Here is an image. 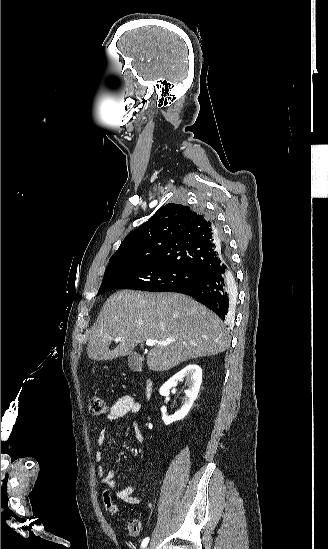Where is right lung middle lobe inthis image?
Wrapping results in <instances>:
<instances>
[{
  "instance_id": "1",
  "label": "right lung middle lobe",
  "mask_w": 328,
  "mask_h": 549,
  "mask_svg": "<svg viewBox=\"0 0 328 549\" xmlns=\"http://www.w3.org/2000/svg\"><path fill=\"white\" fill-rule=\"evenodd\" d=\"M202 274L185 267L154 262H126L104 274L98 294L115 288L170 291L199 279Z\"/></svg>"
}]
</instances>
